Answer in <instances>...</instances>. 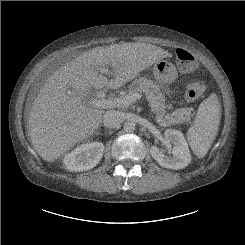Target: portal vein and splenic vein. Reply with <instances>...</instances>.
<instances>
[{
    "instance_id": "obj_1",
    "label": "portal vein and splenic vein",
    "mask_w": 245,
    "mask_h": 245,
    "mask_svg": "<svg viewBox=\"0 0 245 245\" xmlns=\"http://www.w3.org/2000/svg\"><path fill=\"white\" fill-rule=\"evenodd\" d=\"M100 71L101 73L109 72L105 68H102ZM104 95L105 94L103 92H98L96 95L98 98L91 99L89 103L97 108L128 107L132 103H135L137 100L142 98V95L139 93H129L128 95L122 96L120 98L112 99H103ZM155 118L161 126H166L159 116L156 115Z\"/></svg>"
}]
</instances>
